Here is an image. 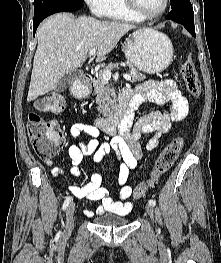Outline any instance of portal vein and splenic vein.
I'll return each instance as SVG.
<instances>
[{"instance_id": "18ae733b", "label": "portal vein and splenic vein", "mask_w": 221, "mask_h": 263, "mask_svg": "<svg viewBox=\"0 0 221 263\" xmlns=\"http://www.w3.org/2000/svg\"><path fill=\"white\" fill-rule=\"evenodd\" d=\"M95 53H96V48H92V49H90L88 55L93 56V55H95ZM102 76L104 79L110 80L111 79V71L110 70H104ZM123 77L127 81H131V79H132L131 76L128 74H124Z\"/></svg>"}]
</instances>
